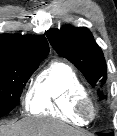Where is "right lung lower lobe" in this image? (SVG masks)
<instances>
[{
    "instance_id": "1",
    "label": "right lung lower lobe",
    "mask_w": 117,
    "mask_h": 136,
    "mask_svg": "<svg viewBox=\"0 0 117 136\" xmlns=\"http://www.w3.org/2000/svg\"><path fill=\"white\" fill-rule=\"evenodd\" d=\"M7 113H9V112H0V117L6 115Z\"/></svg>"
}]
</instances>
